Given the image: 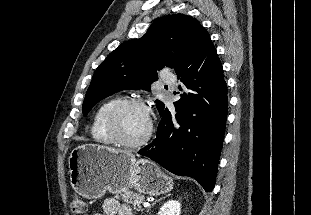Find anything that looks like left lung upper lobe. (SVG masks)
<instances>
[{"label": "left lung upper lobe", "instance_id": "obj_1", "mask_svg": "<svg viewBox=\"0 0 311 215\" xmlns=\"http://www.w3.org/2000/svg\"><path fill=\"white\" fill-rule=\"evenodd\" d=\"M209 35L198 20L173 14L155 21L139 39L122 43L96 69L83 103V115L122 89L149 90L164 66L177 69L200 40ZM157 109L163 103L155 101Z\"/></svg>", "mask_w": 311, "mask_h": 215}]
</instances>
